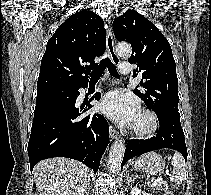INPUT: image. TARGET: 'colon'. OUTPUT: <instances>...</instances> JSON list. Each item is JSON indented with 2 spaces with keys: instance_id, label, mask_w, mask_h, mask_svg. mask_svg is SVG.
<instances>
[{
  "instance_id": "obj_1",
  "label": "colon",
  "mask_w": 211,
  "mask_h": 195,
  "mask_svg": "<svg viewBox=\"0 0 211 195\" xmlns=\"http://www.w3.org/2000/svg\"><path fill=\"white\" fill-rule=\"evenodd\" d=\"M167 195H172L171 193H168Z\"/></svg>"
}]
</instances>
